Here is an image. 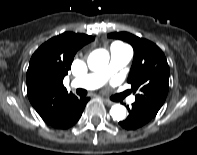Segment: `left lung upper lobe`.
<instances>
[{
    "label": "left lung upper lobe",
    "instance_id": "1",
    "mask_svg": "<svg viewBox=\"0 0 197 155\" xmlns=\"http://www.w3.org/2000/svg\"><path fill=\"white\" fill-rule=\"evenodd\" d=\"M108 37L121 39L132 45L134 59L128 82L136 94V103L157 114L169 88V66L162 50L146 39L127 32H115Z\"/></svg>",
    "mask_w": 197,
    "mask_h": 155
}]
</instances>
